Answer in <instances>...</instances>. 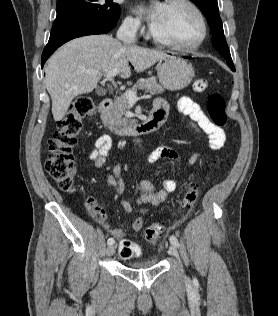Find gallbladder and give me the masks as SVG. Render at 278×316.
Segmentation results:
<instances>
[{
  "label": "gallbladder",
  "mask_w": 278,
  "mask_h": 316,
  "mask_svg": "<svg viewBox=\"0 0 278 316\" xmlns=\"http://www.w3.org/2000/svg\"><path fill=\"white\" fill-rule=\"evenodd\" d=\"M97 93L100 94V95H103L105 92L102 89H98Z\"/></svg>",
  "instance_id": "gallbladder-1"
}]
</instances>
